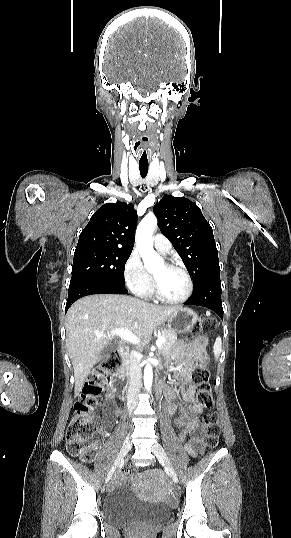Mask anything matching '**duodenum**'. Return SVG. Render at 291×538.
Segmentation results:
<instances>
[{
  "mask_svg": "<svg viewBox=\"0 0 291 538\" xmlns=\"http://www.w3.org/2000/svg\"><path fill=\"white\" fill-rule=\"evenodd\" d=\"M119 353L121 354L123 358V364L121 365V373L116 372L112 378V381L114 382L113 392L118 397H125L128 391V388L126 387L127 386L126 381L122 380L123 379L122 373L126 374L128 372V369L126 368V363H125L128 357V350L126 348H121L119 350ZM155 381L156 382H154V387L161 388L163 386V383L167 381V373H164V372L156 373Z\"/></svg>",
  "mask_w": 291,
  "mask_h": 538,
  "instance_id": "obj_1",
  "label": "duodenum"
}]
</instances>
